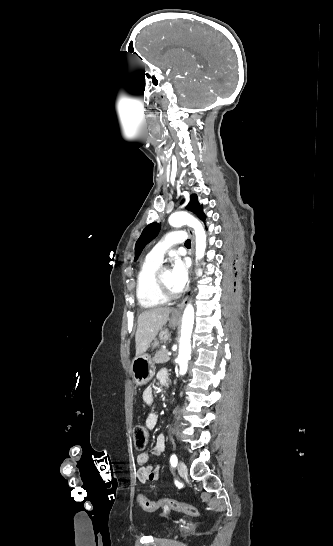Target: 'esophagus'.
Returning <instances> with one entry per match:
<instances>
[{
    "label": "esophagus",
    "mask_w": 333,
    "mask_h": 546,
    "mask_svg": "<svg viewBox=\"0 0 333 546\" xmlns=\"http://www.w3.org/2000/svg\"><path fill=\"white\" fill-rule=\"evenodd\" d=\"M188 232L190 234V237H191V241H192V247H191V256L193 258V253H194V232L192 229H188ZM187 298H185L181 304H179L177 306V308L173 311V315L175 316H180L181 313H182V310L184 308V305H185V302H186Z\"/></svg>",
    "instance_id": "obj_1"
}]
</instances>
